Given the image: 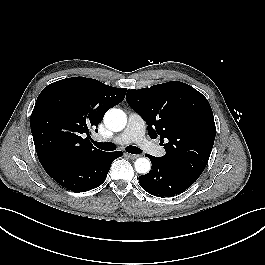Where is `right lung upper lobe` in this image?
<instances>
[{
  "instance_id": "obj_1",
  "label": "right lung upper lobe",
  "mask_w": 265,
  "mask_h": 265,
  "mask_svg": "<svg viewBox=\"0 0 265 265\" xmlns=\"http://www.w3.org/2000/svg\"><path fill=\"white\" fill-rule=\"evenodd\" d=\"M127 89L95 79L72 77L45 87L30 118L31 132L40 163L48 170L100 154L88 138L105 112L119 104Z\"/></svg>"
}]
</instances>
